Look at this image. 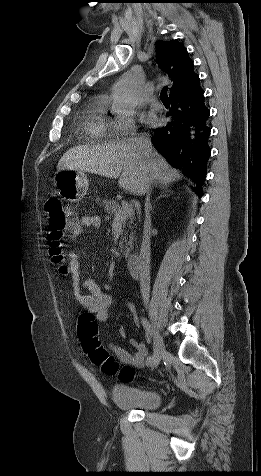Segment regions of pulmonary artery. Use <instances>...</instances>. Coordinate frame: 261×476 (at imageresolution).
I'll return each mask as SVG.
<instances>
[{
    "instance_id": "obj_1",
    "label": "pulmonary artery",
    "mask_w": 261,
    "mask_h": 476,
    "mask_svg": "<svg viewBox=\"0 0 261 476\" xmlns=\"http://www.w3.org/2000/svg\"><path fill=\"white\" fill-rule=\"evenodd\" d=\"M148 103L149 105L155 109V110H160L162 109V104L161 102L155 97V96H152L149 100H148Z\"/></svg>"
}]
</instances>
